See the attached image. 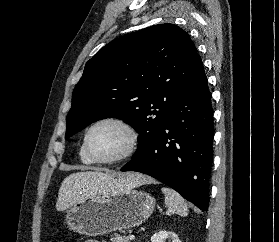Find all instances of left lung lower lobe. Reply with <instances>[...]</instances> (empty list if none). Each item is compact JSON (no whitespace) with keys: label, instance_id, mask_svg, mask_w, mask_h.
Here are the masks:
<instances>
[{"label":"left lung lower lobe","instance_id":"0a47b994","mask_svg":"<svg viewBox=\"0 0 279 242\" xmlns=\"http://www.w3.org/2000/svg\"><path fill=\"white\" fill-rule=\"evenodd\" d=\"M213 131L211 94L198 57L153 145L121 171L148 174L208 211Z\"/></svg>","mask_w":279,"mask_h":242}]
</instances>
